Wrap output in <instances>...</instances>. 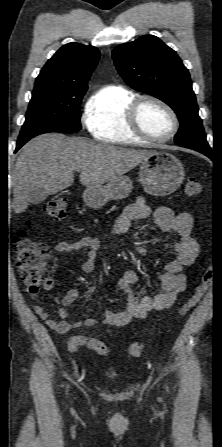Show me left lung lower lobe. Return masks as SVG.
<instances>
[{"label": "left lung lower lobe", "mask_w": 222, "mask_h": 447, "mask_svg": "<svg viewBox=\"0 0 222 447\" xmlns=\"http://www.w3.org/2000/svg\"><path fill=\"white\" fill-rule=\"evenodd\" d=\"M190 149H192V148H190ZM194 150H198L199 152H201V153L205 154L206 156L212 158L211 148L209 150H205V149H201V148L200 149H194Z\"/></svg>", "instance_id": "1"}]
</instances>
